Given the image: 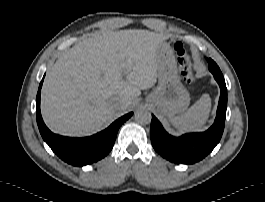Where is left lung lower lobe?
<instances>
[{"label":"left lung lower lobe","mask_w":265,"mask_h":202,"mask_svg":"<svg viewBox=\"0 0 265 202\" xmlns=\"http://www.w3.org/2000/svg\"><path fill=\"white\" fill-rule=\"evenodd\" d=\"M209 70L220 86V99L214 124L203 133L184 134L181 137L169 135L161 123L152 115L150 137L153 148L173 163L193 164L206 157L219 143L224 130L227 88L224 77L213 60L209 59Z\"/></svg>","instance_id":"1"}]
</instances>
